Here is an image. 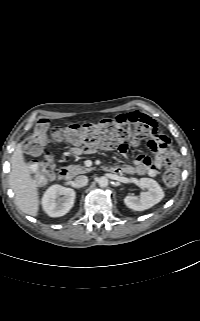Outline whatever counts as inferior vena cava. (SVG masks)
Here are the masks:
<instances>
[{
	"mask_svg": "<svg viewBox=\"0 0 200 321\" xmlns=\"http://www.w3.org/2000/svg\"><path fill=\"white\" fill-rule=\"evenodd\" d=\"M75 183L78 187H83L88 184V177L85 175H80L75 178Z\"/></svg>",
	"mask_w": 200,
	"mask_h": 321,
	"instance_id": "inferior-vena-cava-1",
	"label": "inferior vena cava"
}]
</instances>
